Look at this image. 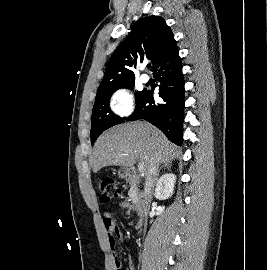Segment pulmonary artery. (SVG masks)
<instances>
[{"label": "pulmonary artery", "instance_id": "obj_1", "mask_svg": "<svg viewBox=\"0 0 267 270\" xmlns=\"http://www.w3.org/2000/svg\"><path fill=\"white\" fill-rule=\"evenodd\" d=\"M141 81L146 83L149 81V76L147 74H142L141 75Z\"/></svg>", "mask_w": 267, "mask_h": 270}]
</instances>
